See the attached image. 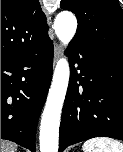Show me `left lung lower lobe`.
I'll use <instances>...</instances> for the list:
<instances>
[{
	"mask_svg": "<svg viewBox=\"0 0 123 152\" xmlns=\"http://www.w3.org/2000/svg\"><path fill=\"white\" fill-rule=\"evenodd\" d=\"M67 55L71 75L60 124L59 152L94 137L123 140V59L81 40L71 41Z\"/></svg>",
	"mask_w": 123,
	"mask_h": 152,
	"instance_id": "left-lung-lower-lobe-1",
	"label": "left lung lower lobe"
}]
</instances>
